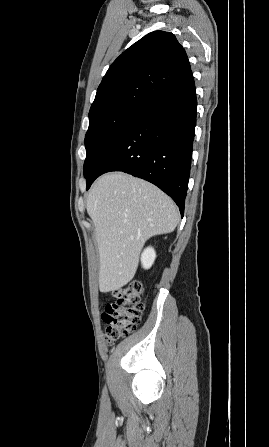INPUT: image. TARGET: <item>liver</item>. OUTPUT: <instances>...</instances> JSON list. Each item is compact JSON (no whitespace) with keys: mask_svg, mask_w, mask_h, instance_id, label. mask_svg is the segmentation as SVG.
<instances>
[{"mask_svg":"<svg viewBox=\"0 0 269 447\" xmlns=\"http://www.w3.org/2000/svg\"><path fill=\"white\" fill-rule=\"evenodd\" d=\"M87 212L95 225L100 291H115L136 273L149 237L170 233L178 210L159 188L128 174H105L89 190Z\"/></svg>","mask_w":269,"mask_h":447,"instance_id":"liver-1","label":"liver"}]
</instances>
